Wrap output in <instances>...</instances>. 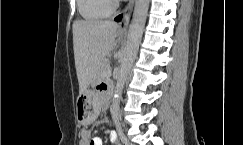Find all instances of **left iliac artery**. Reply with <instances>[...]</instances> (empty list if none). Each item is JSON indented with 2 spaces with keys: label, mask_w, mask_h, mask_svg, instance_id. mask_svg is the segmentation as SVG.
<instances>
[{
  "label": "left iliac artery",
  "mask_w": 243,
  "mask_h": 145,
  "mask_svg": "<svg viewBox=\"0 0 243 145\" xmlns=\"http://www.w3.org/2000/svg\"><path fill=\"white\" fill-rule=\"evenodd\" d=\"M117 131H118V135H119L121 141L123 143H126L127 142V138L125 137V135L123 133V130H122V127H121V125L119 123L117 124Z\"/></svg>",
  "instance_id": "obj_1"
}]
</instances>
